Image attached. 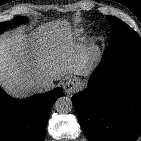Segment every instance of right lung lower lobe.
<instances>
[{
	"label": "right lung lower lobe",
	"instance_id": "obj_1",
	"mask_svg": "<svg viewBox=\"0 0 141 141\" xmlns=\"http://www.w3.org/2000/svg\"><path fill=\"white\" fill-rule=\"evenodd\" d=\"M61 88L16 100L0 89V141H42L50 109Z\"/></svg>",
	"mask_w": 141,
	"mask_h": 141
}]
</instances>
